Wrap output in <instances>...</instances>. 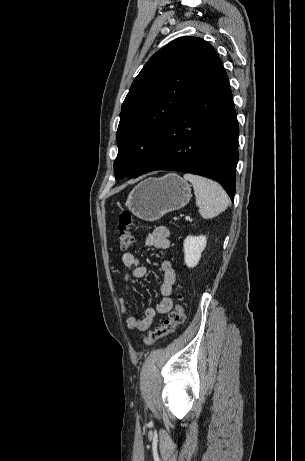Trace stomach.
Listing matches in <instances>:
<instances>
[{"label":"stomach","mask_w":305,"mask_h":461,"mask_svg":"<svg viewBox=\"0 0 305 461\" xmlns=\"http://www.w3.org/2000/svg\"><path fill=\"white\" fill-rule=\"evenodd\" d=\"M191 186L179 175L147 178L130 192L125 206L138 218L156 221L166 213L186 206Z\"/></svg>","instance_id":"1"}]
</instances>
